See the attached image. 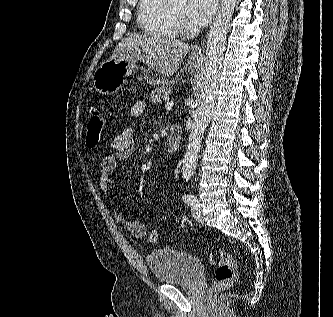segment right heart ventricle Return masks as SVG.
Returning a JSON list of instances; mask_svg holds the SVG:
<instances>
[{
  "label": "right heart ventricle",
  "mask_w": 333,
  "mask_h": 317,
  "mask_svg": "<svg viewBox=\"0 0 333 317\" xmlns=\"http://www.w3.org/2000/svg\"><path fill=\"white\" fill-rule=\"evenodd\" d=\"M166 0H139L137 22L146 34L158 38L177 37L178 29L169 19L165 10Z\"/></svg>",
  "instance_id": "1"
}]
</instances>
